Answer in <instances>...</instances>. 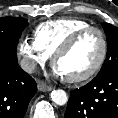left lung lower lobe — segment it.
<instances>
[{
    "label": "left lung lower lobe",
    "mask_w": 118,
    "mask_h": 118,
    "mask_svg": "<svg viewBox=\"0 0 118 118\" xmlns=\"http://www.w3.org/2000/svg\"><path fill=\"white\" fill-rule=\"evenodd\" d=\"M65 118H118V70L71 91Z\"/></svg>",
    "instance_id": "left-lung-lower-lobe-1"
}]
</instances>
